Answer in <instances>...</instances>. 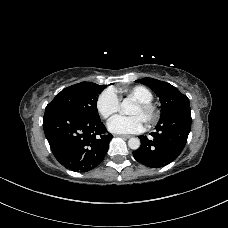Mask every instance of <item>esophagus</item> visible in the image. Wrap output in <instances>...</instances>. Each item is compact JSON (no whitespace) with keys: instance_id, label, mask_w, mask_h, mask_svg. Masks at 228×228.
I'll use <instances>...</instances> for the list:
<instances>
[{"instance_id":"obj_1","label":"esophagus","mask_w":228,"mask_h":228,"mask_svg":"<svg viewBox=\"0 0 228 228\" xmlns=\"http://www.w3.org/2000/svg\"><path fill=\"white\" fill-rule=\"evenodd\" d=\"M120 137H123V138H125V139H129V138H131L132 136L131 135H119Z\"/></svg>"}]
</instances>
